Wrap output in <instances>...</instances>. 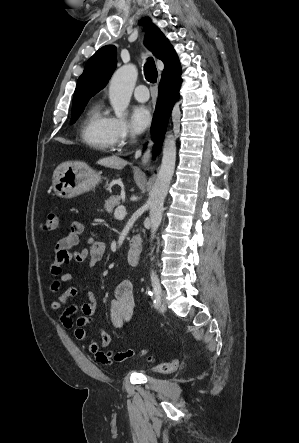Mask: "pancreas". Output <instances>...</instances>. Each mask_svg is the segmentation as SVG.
Listing matches in <instances>:
<instances>
[{
  "label": "pancreas",
  "instance_id": "1",
  "mask_svg": "<svg viewBox=\"0 0 299 443\" xmlns=\"http://www.w3.org/2000/svg\"><path fill=\"white\" fill-rule=\"evenodd\" d=\"M120 196H111L109 199L105 201L104 209L108 213H112L114 208L120 205Z\"/></svg>",
  "mask_w": 299,
  "mask_h": 443
}]
</instances>
